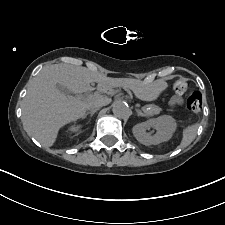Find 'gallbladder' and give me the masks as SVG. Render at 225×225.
<instances>
[{"mask_svg": "<svg viewBox=\"0 0 225 225\" xmlns=\"http://www.w3.org/2000/svg\"><path fill=\"white\" fill-rule=\"evenodd\" d=\"M57 89L65 95H70L71 91L63 85L58 84Z\"/></svg>", "mask_w": 225, "mask_h": 225, "instance_id": "obj_1", "label": "gallbladder"}]
</instances>
